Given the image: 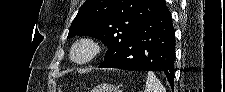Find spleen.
Wrapping results in <instances>:
<instances>
[{"instance_id": "1", "label": "spleen", "mask_w": 225, "mask_h": 92, "mask_svg": "<svg viewBox=\"0 0 225 92\" xmlns=\"http://www.w3.org/2000/svg\"><path fill=\"white\" fill-rule=\"evenodd\" d=\"M144 92H166V89L153 72H148Z\"/></svg>"}]
</instances>
